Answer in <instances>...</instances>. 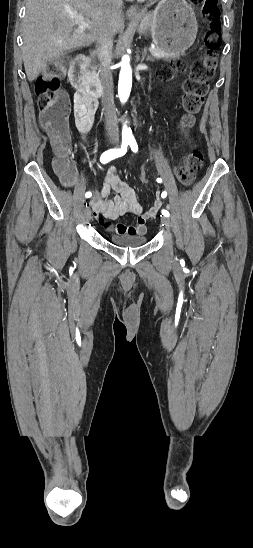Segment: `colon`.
<instances>
[{
  "mask_svg": "<svg viewBox=\"0 0 253 548\" xmlns=\"http://www.w3.org/2000/svg\"><path fill=\"white\" fill-rule=\"evenodd\" d=\"M191 1L200 5L208 17V32L204 37L206 52L202 58L191 65L189 77L183 84V108L186 115L180 122L182 131H186L192 126L194 115L199 112L203 105L209 89V82L213 78L217 67V51L221 46L220 22L217 17L218 0ZM183 69L184 64L178 61L170 67L162 68L159 77L164 81H169L176 72ZM63 72V62H54L50 68L37 77L34 88L40 110V122L52 137L55 151L58 154V158L54 163L55 170L60 175L67 176L72 171V166L66 158L70 150L67 121L70 104L67 95L60 89ZM202 164V153L196 149L191 151L176 168L177 179L184 185H190ZM138 173L141 175V182L148 183L150 181V178L146 176L147 170L141 169Z\"/></svg>",
  "mask_w": 253,
  "mask_h": 548,
  "instance_id": "5ec220e1",
  "label": "colon"
}]
</instances>
